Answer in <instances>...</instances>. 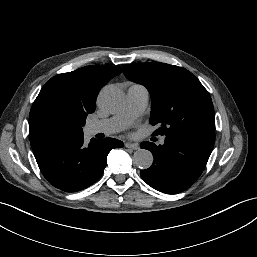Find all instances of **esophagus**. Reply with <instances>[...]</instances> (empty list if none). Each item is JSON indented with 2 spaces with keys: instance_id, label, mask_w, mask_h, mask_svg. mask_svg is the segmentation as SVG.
I'll list each match as a JSON object with an SVG mask.
<instances>
[{
  "instance_id": "1",
  "label": "esophagus",
  "mask_w": 257,
  "mask_h": 257,
  "mask_svg": "<svg viewBox=\"0 0 257 257\" xmlns=\"http://www.w3.org/2000/svg\"><path fill=\"white\" fill-rule=\"evenodd\" d=\"M125 147H126V148H130V149H133V150H138V149H139V144H138V143L126 142V143H125Z\"/></svg>"
}]
</instances>
